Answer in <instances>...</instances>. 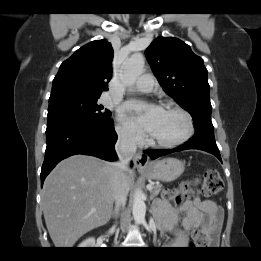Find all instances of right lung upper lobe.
<instances>
[{
	"instance_id": "cb5924a9",
	"label": "right lung upper lobe",
	"mask_w": 261,
	"mask_h": 261,
	"mask_svg": "<svg viewBox=\"0 0 261 261\" xmlns=\"http://www.w3.org/2000/svg\"><path fill=\"white\" fill-rule=\"evenodd\" d=\"M113 48L106 39L92 41L64 61L55 76L51 95L78 92L100 96L112 77Z\"/></svg>"
}]
</instances>
